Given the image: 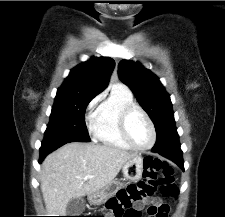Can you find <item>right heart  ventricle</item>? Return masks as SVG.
Instances as JSON below:
<instances>
[{"label": "right heart ventricle", "instance_id": "e07e8e85", "mask_svg": "<svg viewBox=\"0 0 225 217\" xmlns=\"http://www.w3.org/2000/svg\"><path fill=\"white\" fill-rule=\"evenodd\" d=\"M133 103L132 92L118 84L113 86L110 94L99 105L95 114L94 134L104 146L126 151L132 149L121 136L119 116L125 106Z\"/></svg>", "mask_w": 225, "mask_h": 217}]
</instances>
